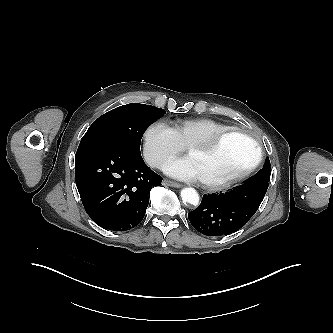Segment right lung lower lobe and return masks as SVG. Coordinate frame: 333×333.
Here are the masks:
<instances>
[{"label":"right lung lower lobe","instance_id":"1","mask_svg":"<svg viewBox=\"0 0 333 333\" xmlns=\"http://www.w3.org/2000/svg\"><path fill=\"white\" fill-rule=\"evenodd\" d=\"M75 180L83 206L99 226L113 231L134 228L144 218L149 191L162 177L141 154L113 144L79 145Z\"/></svg>","mask_w":333,"mask_h":333}]
</instances>
